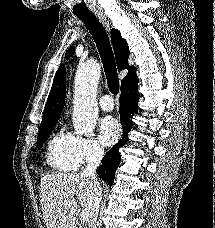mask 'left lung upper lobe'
<instances>
[{"label":"left lung upper lobe","mask_w":215,"mask_h":228,"mask_svg":"<svg viewBox=\"0 0 215 228\" xmlns=\"http://www.w3.org/2000/svg\"><path fill=\"white\" fill-rule=\"evenodd\" d=\"M74 53V46H72L71 48H69V50L66 52V58H69L70 56H72Z\"/></svg>","instance_id":"1"}]
</instances>
